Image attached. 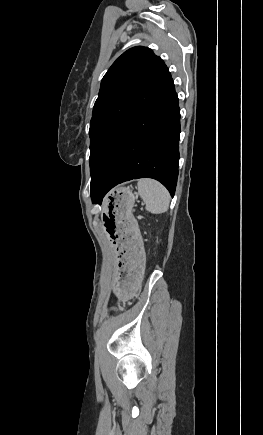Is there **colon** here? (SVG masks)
<instances>
[{"label": "colon", "instance_id": "1", "mask_svg": "<svg viewBox=\"0 0 263 435\" xmlns=\"http://www.w3.org/2000/svg\"><path fill=\"white\" fill-rule=\"evenodd\" d=\"M111 310H112V311H115V310H116V308H114V307H113V308H111Z\"/></svg>", "mask_w": 263, "mask_h": 435}]
</instances>
